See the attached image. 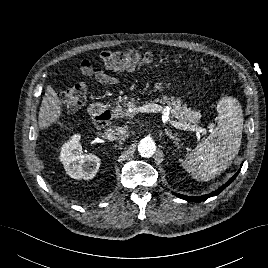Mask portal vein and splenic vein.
<instances>
[{
	"label": "portal vein and splenic vein",
	"mask_w": 268,
	"mask_h": 268,
	"mask_svg": "<svg viewBox=\"0 0 268 268\" xmlns=\"http://www.w3.org/2000/svg\"><path fill=\"white\" fill-rule=\"evenodd\" d=\"M128 111L133 114L137 113H162V117L164 120L169 121L172 126H174L177 129L181 130H190V131H196L198 133H205L206 129L202 127H195L189 124H183L180 122H177L175 120H172L169 116V108H163L162 106L154 103H149L141 106H136L135 104H131L128 108ZM211 127V126H210Z\"/></svg>",
	"instance_id": "1"
}]
</instances>
